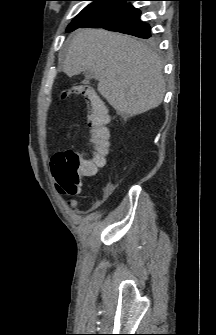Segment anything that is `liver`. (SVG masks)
Listing matches in <instances>:
<instances>
[{
	"instance_id": "obj_1",
	"label": "liver",
	"mask_w": 216,
	"mask_h": 335,
	"mask_svg": "<svg viewBox=\"0 0 216 335\" xmlns=\"http://www.w3.org/2000/svg\"><path fill=\"white\" fill-rule=\"evenodd\" d=\"M159 57L144 43L104 29H79L63 63L69 77L93 73L98 92L120 115L135 116L158 107L165 94Z\"/></svg>"
}]
</instances>
